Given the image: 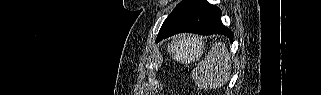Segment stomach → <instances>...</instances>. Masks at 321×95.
Returning <instances> with one entry per match:
<instances>
[{
	"mask_svg": "<svg viewBox=\"0 0 321 95\" xmlns=\"http://www.w3.org/2000/svg\"><path fill=\"white\" fill-rule=\"evenodd\" d=\"M204 45L195 37L183 36L168 46V52L176 59L192 61L203 53Z\"/></svg>",
	"mask_w": 321,
	"mask_h": 95,
	"instance_id": "0dacf381",
	"label": "stomach"
}]
</instances>
